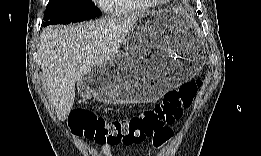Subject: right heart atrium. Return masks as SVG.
I'll use <instances>...</instances> for the list:
<instances>
[{"mask_svg":"<svg viewBox=\"0 0 261 156\" xmlns=\"http://www.w3.org/2000/svg\"><path fill=\"white\" fill-rule=\"evenodd\" d=\"M107 1H108V0H101V1H99V4H100L102 7L108 9Z\"/></svg>","mask_w":261,"mask_h":156,"instance_id":"d8ad5b80","label":"right heart atrium"}]
</instances>
